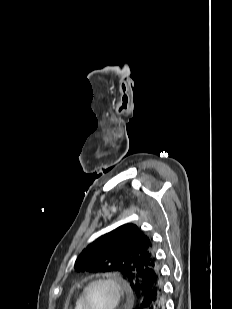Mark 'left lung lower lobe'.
I'll return each instance as SVG.
<instances>
[{
	"label": "left lung lower lobe",
	"mask_w": 232,
	"mask_h": 309,
	"mask_svg": "<svg viewBox=\"0 0 232 309\" xmlns=\"http://www.w3.org/2000/svg\"><path fill=\"white\" fill-rule=\"evenodd\" d=\"M166 298L159 271L152 277L136 309H165Z\"/></svg>",
	"instance_id": "obj_1"
}]
</instances>
